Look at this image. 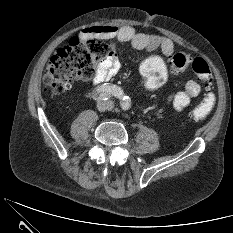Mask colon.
I'll use <instances>...</instances> for the list:
<instances>
[{"label": "colon", "instance_id": "obj_1", "mask_svg": "<svg viewBox=\"0 0 233 233\" xmlns=\"http://www.w3.org/2000/svg\"><path fill=\"white\" fill-rule=\"evenodd\" d=\"M106 53L107 46L101 40L72 38L50 58L43 78L45 87L55 94H60L67 91L75 81L89 80L93 76L95 62ZM189 66L207 91L202 101L189 114L190 119L200 121L209 114L215 104V94L212 92L213 74L203 58H191L183 52L175 53L166 60L157 55H149L142 61L140 71L145 88L154 90L164 84L168 67L180 73Z\"/></svg>", "mask_w": 233, "mask_h": 233}]
</instances>
